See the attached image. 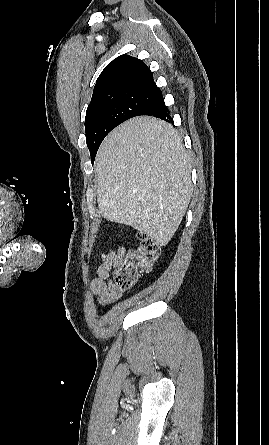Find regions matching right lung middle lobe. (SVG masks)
I'll return each mask as SVG.
<instances>
[{"instance_id":"obj_1","label":"right lung middle lobe","mask_w":269,"mask_h":445,"mask_svg":"<svg viewBox=\"0 0 269 445\" xmlns=\"http://www.w3.org/2000/svg\"><path fill=\"white\" fill-rule=\"evenodd\" d=\"M160 96L156 87L114 90L90 102L85 117L86 142L94 162L105 136L120 123L138 114Z\"/></svg>"}]
</instances>
